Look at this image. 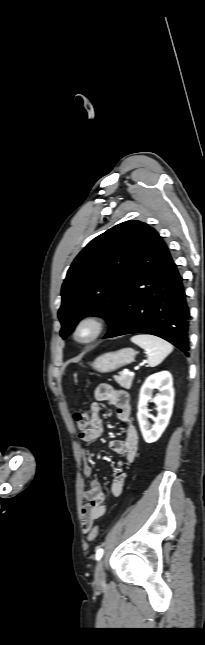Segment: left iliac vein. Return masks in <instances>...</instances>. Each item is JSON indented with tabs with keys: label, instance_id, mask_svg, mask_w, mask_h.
<instances>
[{
	"label": "left iliac vein",
	"instance_id": "4c4485c4",
	"mask_svg": "<svg viewBox=\"0 0 205 645\" xmlns=\"http://www.w3.org/2000/svg\"><path fill=\"white\" fill-rule=\"evenodd\" d=\"M95 582L97 584H103L105 582V572H104V563L103 560H100L95 568Z\"/></svg>",
	"mask_w": 205,
	"mask_h": 645
}]
</instances>
